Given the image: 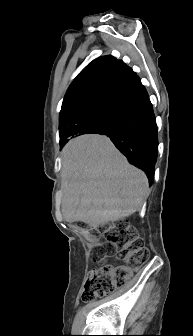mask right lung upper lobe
Here are the masks:
<instances>
[{"mask_svg": "<svg viewBox=\"0 0 193 336\" xmlns=\"http://www.w3.org/2000/svg\"><path fill=\"white\" fill-rule=\"evenodd\" d=\"M136 77L131 68L112 56L99 57L86 66L72 82L63 100L59 126L61 147L69 137L83 134L71 130L76 120L112 109Z\"/></svg>", "mask_w": 193, "mask_h": 336, "instance_id": "cb5924a9", "label": "right lung upper lobe"}]
</instances>
